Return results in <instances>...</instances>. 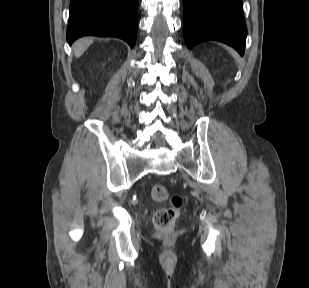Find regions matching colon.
Listing matches in <instances>:
<instances>
[{
    "label": "colon",
    "mask_w": 309,
    "mask_h": 288,
    "mask_svg": "<svg viewBox=\"0 0 309 288\" xmlns=\"http://www.w3.org/2000/svg\"><path fill=\"white\" fill-rule=\"evenodd\" d=\"M151 197L153 200L161 202L168 199L167 188L162 184H155L151 188ZM182 198L179 195H173L170 199V206L159 209L153 218L155 227L160 231H170L179 216L182 206Z\"/></svg>",
    "instance_id": "obj_1"
}]
</instances>
